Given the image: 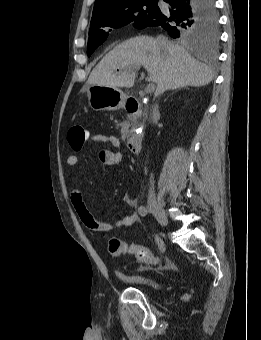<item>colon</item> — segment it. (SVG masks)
Returning a JSON list of instances; mask_svg holds the SVG:
<instances>
[{
    "mask_svg": "<svg viewBox=\"0 0 261 340\" xmlns=\"http://www.w3.org/2000/svg\"><path fill=\"white\" fill-rule=\"evenodd\" d=\"M67 138L73 150H80L86 141L87 131L83 126L75 124L70 127ZM108 251L113 257L131 254L144 264L160 266L163 269H174V265L171 262H162L148 248L136 244H127L119 238H112L109 241Z\"/></svg>",
    "mask_w": 261,
    "mask_h": 340,
    "instance_id": "1",
    "label": "colon"
}]
</instances>
